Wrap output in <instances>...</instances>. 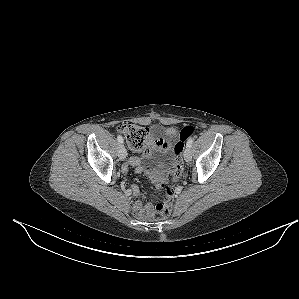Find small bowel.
<instances>
[{
    "mask_svg": "<svg viewBox=\"0 0 299 299\" xmlns=\"http://www.w3.org/2000/svg\"><path fill=\"white\" fill-rule=\"evenodd\" d=\"M168 132L170 134H175L177 131L174 127H170L168 129ZM163 144H165V143L163 142ZM147 149H148V147L146 146V143H145V145L143 146V148L141 150H138V151L132 150V151L135 152V153L140 152V151H144L146 153ZM139 164H140V158L138 156H132V157L129 158L128 162L123 166L122 170H123V172L126 173L128 171L129 166H138L137 167V172L138 173H146L151 178V180L154 183H156L157 185H160L163 182V180L165 178V173L148 171V170L144 169L143 167H140ZM132 194L135 197H137L139 195V188L136 185H134L132 187ZM133 209L136 212V214L138 216L142 217V218L148 217L150 215L151 211H152L151 205H149V204L144 205L139 200L135 202V204L133 206Z\"/></svg>",
    "mask_w": 299,
    "mask_h": 299,
    "instance_id": "small-bowel-1",
    "label": "small bowel"
}]
</instances>
